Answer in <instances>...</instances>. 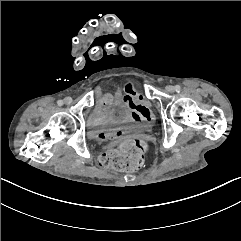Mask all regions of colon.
Segmentation results:
<instances>
[{
  "mask_svg": "<svg viewBox=\"0 0 241 241\" xmlns=\"http://www.w3.org/2000/svg\"><path fill=\"white\" fill-rule=\"evenodd\" d=\"M145 148L143 140L123 141L118 147L109 148L100 153L97 163L102 168L116 170L140 168L143 164Z\"/></svg>",
  "mask_w": 241,
  "mask_h": 241,
  "instance_id": "colon-1",
  "label": "colon"
}]
</instances>
